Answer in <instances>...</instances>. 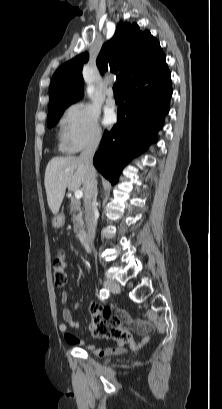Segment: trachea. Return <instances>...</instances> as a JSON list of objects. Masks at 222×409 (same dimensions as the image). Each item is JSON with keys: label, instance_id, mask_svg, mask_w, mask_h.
<instances>
[{"label": "trachea", "instance_id": "obj_1", "mask_svg": "<svg viewBox=\"0 0 222 409\" xmlns=\"http://www.w3.org/2000/svg\"><path fill=\"white\" fill-rule=\"evenodd\" d=\"M113 92H114V95H120L119 87H118V84H117V83H115V84L113 85Z\"/></svg>", "mask_w": 222, "mask_h": 409}]
</instances>
